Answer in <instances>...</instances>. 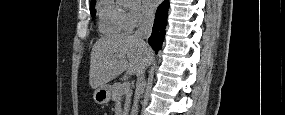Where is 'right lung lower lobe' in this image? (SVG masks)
I'll return each instance as SVG.
<instances>
[{
    "instance_id": "98d812e1",
    "label": "right lung lower lobe",
    "mask_w": 285,
    "mask_h": 115,
    "mask_svg": "<svg viewBox=\"0 0 285 115\" xmlns=\"http://www.w3.org/2000/svg\"><path fill=\"white\" fill-rule=\"evenodd\" d=\"M169 9V0H165L158 7L154 21L153 31L148 39L150 46L157 53L162 47V42L165 34V26L167 23V15Z\"/></svg>"
}]
</instances>
